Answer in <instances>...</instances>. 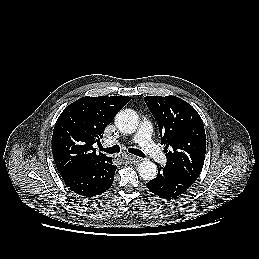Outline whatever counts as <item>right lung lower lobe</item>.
I'll list each match as a JSON object with an SVG mask.
<instances>
[{"label":"right lung lower lobe","mask_w":259,"mask_h":259,"mask_svg":"<svg viewBox=\"0 0 259 259\" xmlns=\"http://www.w3.org/2000/svg\"><path fill=\"white\" fill-rule=\"evenodd\" d=\"M116 168L109 158L104 162L83 166L63 175L62 179L76 194L93 197L105 192L112 185Z\"/></svg>","instance_id":"1"}]
</instances>
